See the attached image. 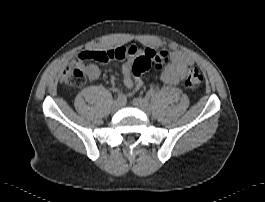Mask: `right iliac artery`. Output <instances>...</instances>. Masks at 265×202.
<instances>
[{
    "label": "right iliac artery",
    "mask_w": 265,
    "mask_h": 202,
    "mask_svg": "<svg viewBox=\"0 0 265 202\" xmlns=\"http://www.w3.org/2000/svg\"><path fill=\"white\" fill-rule=\"evenodd\" d=\"M123 99H124V98H123V96H122V95H118V96H117V100H118V101L122 102V101H123Z\"/></svg>",
    "instance_id": "82829eb1"
}]
</instances>
